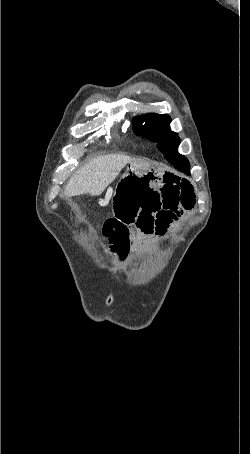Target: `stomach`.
<instances>
[{
	"instance_id": "0dacf381",
	"label": "stomach",
	"mask_w": 250,
	"mask_h": 454,
	"mask_svg": "<svg viewBox=\"0 0 250 454\" xmlns=\"http://www.w3.org/2000/svg\"><path fill=\"white\" fill-rule=\"evenodd\" d=\"M122 176H157L148 165L139 162H130Z\"/></svg>"
}]
</instances>
